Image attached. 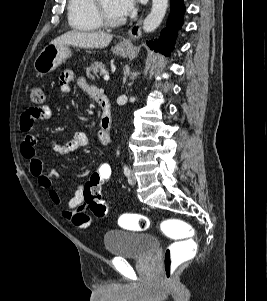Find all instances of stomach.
I'll return each instance as SVG.
<instances>
[{
	"label": "stomach",
	"instance_id": "stomach-1",
	"mask_svg": "<svg viewBox=\"0 0 267 301\" xmlns=\"http://www.w3.org/2000/svg\"><path fill=\"white\" fill-rule=\"evenodd\" d=\"M113 53L125 57L129 47L121 44L113 47ZM72 55L68 45H47L34 61V69L40 75H46L55 70L60 64Z\"/></svg>",
	"mask_w": 267,
	"mask_h": 301
}]
</instances>
